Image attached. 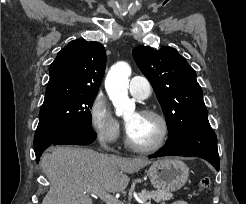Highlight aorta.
I'll return each mask as SVG.
<instances>
[{
    "instance_id": "obj_1",
    "label": "aorta",
    "mask_w": 246,
    "mask_h": 204,
    "mask_svg": "<svg viewBox=\"0 0 246 204\" xmlns=\"http://www.w3.org/2000/svg\"><path fill=\"white\" fill-rule=\"evenodd\" d=\"M131 68L126 62L113 65L107 74L105 87L115 107L117 116L130 117L135 112V103L128 96V78Z\"/></svg>"
}]
</instances>
